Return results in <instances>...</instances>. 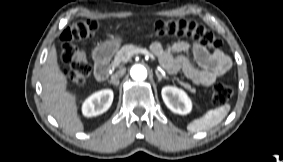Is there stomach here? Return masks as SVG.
Wrapping results in <instances>:
<instances>
[{"label":"stomach","mask_w":283,"mask_h":162,"mask_svg":"<svg viewBox=\"0 0 283 162\" xmlns=\"http://www.w3.org/2000/svg\"><path fill=\"white\" fill-rule=\"evenodd\" d=\"M122 43L121 37H115L111 40H107L104 43H102L100 46L97 47L98 53L102 57H110L112 56L120 47Z\"/></svg>","instance_id":"obj_1"}]
</instances>
